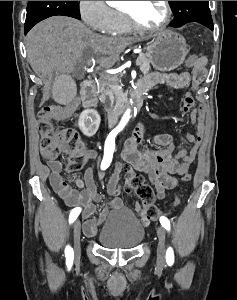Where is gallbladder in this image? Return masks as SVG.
Returning <instances> with one entry per match:
<instances>
[{
	"label": "gallbladder",
	"mask_w": 237,
	"mask_h": 300,
	"mask_svg": "<svg viewBox=\"0 0 237 300\" xmlns=\"http://www.w3.org/2000/svg\"><path fill=\"white\" fill-rule=\"evenodd\" d=\"M73 81V76H67L65 72H62L60 76H56L55 87L52 90V97L56 101V105H71L74 94H76Z\"/></svg>",
	"instance_id": "1"
}]
</instances>
